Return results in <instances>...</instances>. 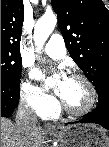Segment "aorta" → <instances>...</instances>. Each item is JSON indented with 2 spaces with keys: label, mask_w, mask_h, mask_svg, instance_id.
<instances>
[{
  "label": "aorta",
  "mask_w": 109,
  "mask_h": 147,
  "mask_svg": "<svg viewBox=\"0 0 109 147\" xmlns=\"http://www.w3.org/2000/svg\"><path fill=\"white\" fill-rule=\"evenodd\" d=\"M56 23H57V17L52 12L45 13L36 22L34 29V42L37 47V51H41L46 40L54 30Z\"/></svg>",
  "instance_id": "1"
}]
</instances>
